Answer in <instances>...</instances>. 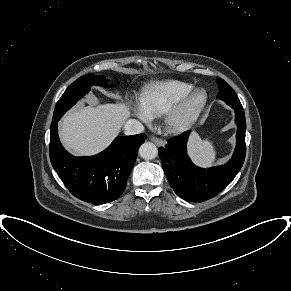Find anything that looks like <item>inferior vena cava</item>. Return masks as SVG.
<instances>
[{
    "label": "inferior vena cava",
    "mask_w": 291,
    "mask_h": 291,
    "mask_svg": "<svg viewBox=\"0 0 291 291\" xmlns=\"http://www.w3.org/2000/svg\"><path fill=\"white\" fill-rule=\"evenodd\" d=\"M144 131L143 125L134 119L128 120L125 125H124V133L126 135H134V134H139Z\"/></svg>",
    "instance_id": "inferior-vena-cava-1"
}]
</instances>
